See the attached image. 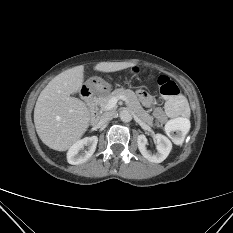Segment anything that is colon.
Masks as SVG:
<instances>
[{
	"label": "colon",
	"mask_w": 233,
	"mask_h": 233,
	"mask_svg": "<svg viewBox=\"0 0 233 233\" xmlns=\"http://www.w3.org/2000/svg\"><path fill=\"white\" fill-rule=\"evenodd\" d=\"M158 88L166 100L165 110L169 116L166 126L169 137L176 143L184 141L188 131L189 108L185 97L174 81L165 75L157 80Z\"/></svg>",
	"instance_id": "obj_1"
}]
</instances>
